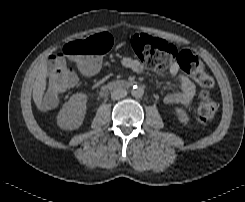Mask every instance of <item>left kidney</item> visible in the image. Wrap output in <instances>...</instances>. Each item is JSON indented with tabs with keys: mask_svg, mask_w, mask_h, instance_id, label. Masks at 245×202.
I'll return each mask as SVG.
<instances>
[{
	"mask_svg": "<svg viewBox=\"0 0 245 202\" xmlns=\"http://www.w3.org/2000/svg\"><path fill=\"white\" fill-rule=\"evenodd\" d=\"M176 113L178 115V120L181 123H187L189 121L187 113L182 108H176Z\"/></svg>",
	"mask_w": 245,
	"mask_h": 202,
	"instance_id": "1",
	"label": "left kidney"
}]
</instances>
